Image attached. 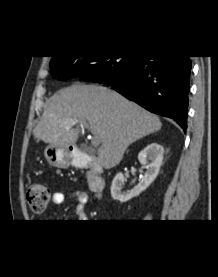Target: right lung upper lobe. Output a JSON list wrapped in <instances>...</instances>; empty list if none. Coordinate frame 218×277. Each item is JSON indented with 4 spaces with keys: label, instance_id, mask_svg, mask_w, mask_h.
I'll list each match as a JSON object with an SVG mask.
<instances>
[{
    "label": "right lung upper lobe",
    "instance_id": "1",
    "mask_svg": "<svg viewBox=\"0 0 218 277\" xmlns=\"http://www.w3.org/2000/svg\"><path fill=\"white\" fill-rule=\"evenodd\" d=\"M56 57H59V56H54L52 59L56 58Z\"/></svg>",
    "mask_w": 218,
    "mask_h": 277
}]
</instances>
